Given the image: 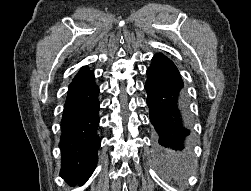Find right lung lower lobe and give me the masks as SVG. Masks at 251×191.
I'll return each instance as SVG.
<instances>
[{
	"mask_svg": "<svg viewBox=\"0 0 251 191\" xmlns=\"http://www.w3.org/2000/svg\"><path fill=\"white\" fill-rule=\"evenodd\" d=\"M99 87L94 73L73 80L68 88L61 120L62 167L60 175L70 183H85L97 164L100 139Z\"/></svg>",
	"mask_w": 251,
	"mask_h": 191,
	"instance_id": "98d812e1",
	"label": "right lung lower lobe"
}]
</instances>
